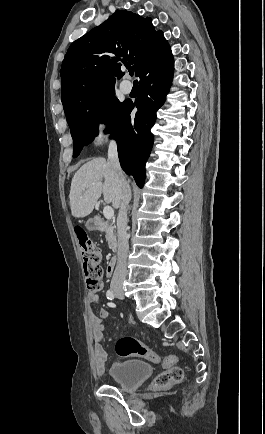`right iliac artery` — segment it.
<instances>
[{"mask_svg": "<svg viewBox=\"0 0 265 434\" xmlns=\"http://www.w3.org/2000/svg\"><path fill=\"white\" fill-rule=\"evenodd\" d=\"M107 299L113 300L115 298V294L112 290H108L106 293Z\"/></svg>", "mask_w": 265, "mask_h": 434, "instance_id": "obj_1", "label": "right iliac artery"}]
</instances>
